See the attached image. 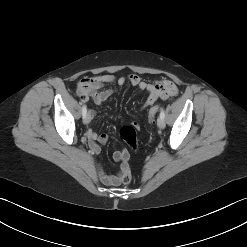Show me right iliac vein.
<instances>
[{
  "instance_id": "1",
  "label": "right iliac vein",
  "mask_w": 247,
  "mask_h": 247,
  "mask_svg": "<svg viewBox=\"0 0 247 247\" xmlns=\"http://www.w3.org/2000/svg\"><path fill=\"white\" fill-rule=\"evenodd\" d=\"M90 121H91V116H90V114H87V115L83 118V122H84L85 124H89Z\"/></svg>"
}]
</instances>
